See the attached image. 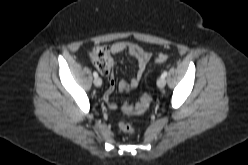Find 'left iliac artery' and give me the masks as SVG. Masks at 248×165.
<instances>
[{
  "instance_id": "left-iliac-artery-1",
  "label": "left iliac artery",
  "mask_w": 248,
  "mask_h": 165,
  "mask_svg": "<svg viewBox=\"0 0 248 165\" xmlns=\"http://www.w3.org/2000/svg\"><path fill=\"white\" fill-rule=\"evenodd\" d=\"M167 76V71H164L161 75L162 78H165Z\"/></svg>"
}]
</instances>
